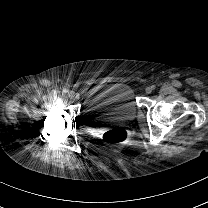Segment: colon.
<instances>
[{
	"instance_id": "colon-1",
	"label": "colon",
	"mask_w": 208,
	"mask_h": 208,
	"mask_svg": "<svg viewBox=\"0 0 208 208\" xmlns=\"http://www.w3.org/2000/svg\"><path fill=\"white\" fill-rule=\"evenodd\" d=\"M128 137V132L123 128H114L105 132L102 140L107 145H117L124 143Z\"/></svg>"
}]
</instances>
